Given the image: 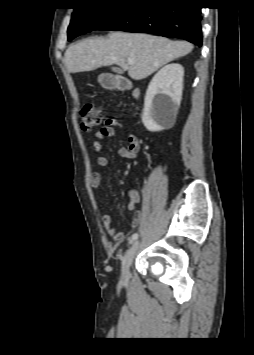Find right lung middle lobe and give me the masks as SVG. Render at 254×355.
<instances>
[{
  "mask_svg": "<svg viewBox=\"0 0 254 355\" xmlns=\"http://www.w3.org/2000/svg\"><path fill=\"white\" fill-rule=\"evenodd\" d=\"M124 4L125 2L117 0H93L83 6L74 8L71 23L68 27V40L98 29Z\"/></svg>",
  "mask_w": 254,
  "mask_h": 355,
  "instance_id": "obj_1",
  "label": "right lung middle lobe"
}]
</instances>
